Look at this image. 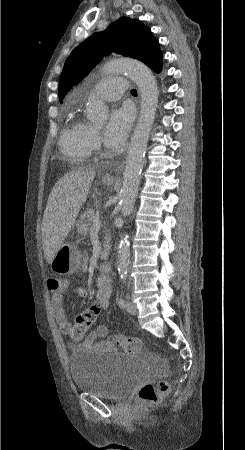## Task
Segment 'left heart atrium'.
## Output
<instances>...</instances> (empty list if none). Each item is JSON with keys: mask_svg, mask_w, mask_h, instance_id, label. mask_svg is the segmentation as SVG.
Listing matches in <instances>:
<instances>
[{"mask_svg": "<svg viewBox=\"0 0 245 450\" xmlns=\"http://www.w3.org/2000/svg\"><path fill=\"white\" fill-rule=\"evenodd\" d=\"M134 113L128 104H124L112 111L104 133L107 147L117 149L123 145L129 134Z\"/></svg>", "mask_w": 245, "mask_h": 450, "instance_id": "left-heart-atrium-1", "label": "left heart atrium"}]
</instances>
